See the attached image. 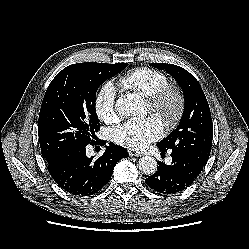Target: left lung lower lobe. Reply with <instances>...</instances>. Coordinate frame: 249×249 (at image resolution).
<instances>
[{
	"mask_svg": "<svg viewBox=\"0 0 249 249\" xmlns=\"http://www.w3.org/2000/svg\"><path fill=\"white\" fill-rule=\"evenodd\" d=\"M162 153L167 152L159 147ZM172 164L158 162L157 171L145 179L146 184L161 194H174L189 187L201 173L204 165L195 158L172 150Z\"/></svg>",
	"mask_w": 249,
	"mask_h": 249,
	"instance_id": "left-lung-lower-lobe-1",
	"label": "left lung lower lobe"
}]
</instances>
